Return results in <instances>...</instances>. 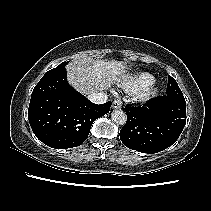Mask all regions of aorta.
I'll use <instances>...</instances> for the list:
<instances>
[{"label": "aorta", "instance_id": "1", "mask_svg": "<svg viewBox=\"0 0 211 211\" xmlns=\"http://www.w3.org/2000/svg\"><path fill=\"white\" fill-rule=\"evenodd\" d=\"M111 118L113 122L119 125H124L127 120L126 114L122 110H114L111 113Z\"/></svg>", "mask_w": 211, "mask_h": 211}]
</instances>
